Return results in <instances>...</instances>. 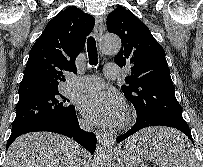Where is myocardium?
Instances as JSON below:
<instances>
[{"mask_svg": "<svg viewBox=\"0 0 203 167\" xmlns=\"http://www.w3.org/2000/svg\"><path fill=\"white\" fill-rule=\"evenodd\" d=\"M128 122H129V120H128V119H125V120H124V123H125V124H127Z\"/></svg>", "mask_w": 203, "mask_h": 167, "instance_id": "1", "label": "myocardium"}]
</instances>
